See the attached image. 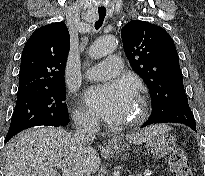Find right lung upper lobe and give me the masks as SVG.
<instances>
[{
    "mask_svg": "<svg viewBox=\"0 0 205 176\" xmlns=\"http://www.w3.org/2000/svg\"><path fill=\"white\" fill-rule=\"evenodd\" d=\"M69 47L70 36L64 22L35 30L22 52L17 94L65 84Z\"/></svg>",
    "mask_w": 205,
    "mask_h": 176,
    "instance_id": "right-lung-upper-lobe-1",
    "label": "right lung upper lobe"
}]
</instances>
